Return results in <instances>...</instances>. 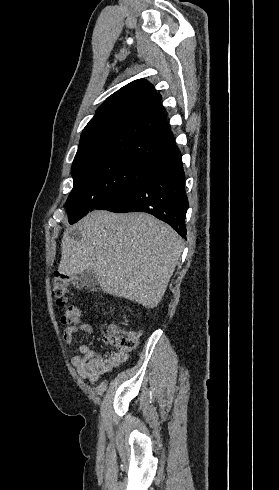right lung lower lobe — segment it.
<instances>
[{"instance_id":"1","label":"right lung lower lobe","mask_w":279,"mask_h":490,"mask_svg":"<svg viewBox=\"0 0 279 490\" xmlns=\"http://www.w3.org/2000/svg\"><path fill=\"white\" fill-rule=\"evenodd\" d=\"M96 209L147 212L186 238L188 198L179 149L159 159L142 179L110 194Z\"/></svg>"}]
</instances>
